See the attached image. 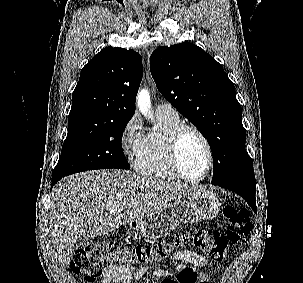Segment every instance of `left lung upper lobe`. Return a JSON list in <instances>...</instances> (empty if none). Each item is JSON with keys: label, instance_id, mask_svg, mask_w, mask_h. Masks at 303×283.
<instances>
[{"label": "left lung upper lobe", "instance_id": "1", "mask_svg": "<svg viewBox=\"0 0 303 283\" xmlns=\"http://www.w3.org/2000/svg\"><path fill=\"white\" fill-rule=\"evenodd\" d=\"M150 70L162 95L207 139L213 154L211 183H255L241 105L222 66L202 48L183 42L157 48Z\"/></svg>", "mask_w": 303, "mask_h": 283}]
</instances>
